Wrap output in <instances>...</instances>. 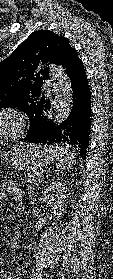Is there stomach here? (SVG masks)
<instances>
[{
    "instance_id": "1",
    "label": "stomach",
    "mask_w": 113,
    "mask_h": 279,
    "mask_svg": "<svg viewBox=\"0 0 113 279\" xmlns=\"http://www.w3.org/2000/svg\"><path fill=\"white\" fill-rule=\"evenodd\" d=\"M53 160V155L38 144L12 147L1 156V164H9L19 170L36 171Z\"/></svg>"
}]
</instances>
